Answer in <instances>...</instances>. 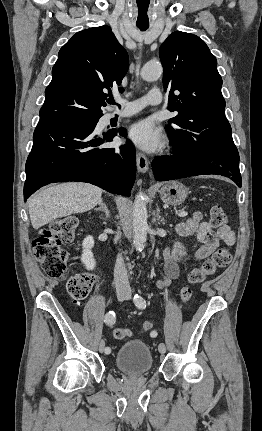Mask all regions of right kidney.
<instances>
[{
    "instance_id": "right-kidney-1",
    "label": "right kidney",
    "mask_w": 262,
    "mask_h": 431,
    "mask_svg": "<svg viewBox=\"0 0 262 431\" xmlns=\"http://www.w3.org/2000/svg\"><path fill=\"white\" fill-rule=\"evenodd\" d=\"M94 246V239L92 236H87L83 241V253L81 261L85 264L86 269L93 270L95 268L96 262L93 257L91 249Z\"/></svg>"
}]
</instances>
